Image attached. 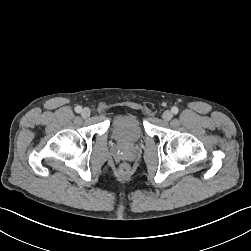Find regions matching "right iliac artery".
Here are the masks:
<instances>
[{"instance_id":"1","label":"right iliac artery","mask_w":251,"mask_h":251,"mask_svg":"<svg viewBox=\"0 0 251 251\" xmlns=\"http://www.w3.org/2000/svg\"><path fill=\"white\" fill-rule=\"evenodd\" d=\"M82 111V107L81 106H76L75 107V112L80 113Z\"/></svg>"}]
</instances>
